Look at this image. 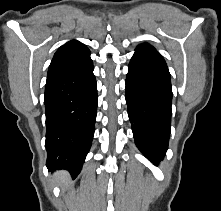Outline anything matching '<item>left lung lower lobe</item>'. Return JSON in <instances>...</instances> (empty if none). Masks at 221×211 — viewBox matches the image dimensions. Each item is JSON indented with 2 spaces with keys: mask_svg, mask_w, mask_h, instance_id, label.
<instances>
[{
  "mask_svg": "<svg viewBox=\"0 0 221 211\" xmlns=\"http://www.w3.org/2000/svg\"><path fill=\"white\" fill-rule=\"evenodd\" d=\"M126 103L137 147L158 165L168 148L172 105L171 77L161 55L135 51L126 77Z\"/></svg>",
  "mask_w": 221,
  "mask_h": 211,
  "instance_id": "left-lung-lower-lobe-1",
  "label": "left lung lower lobe"
}]
</instances>
